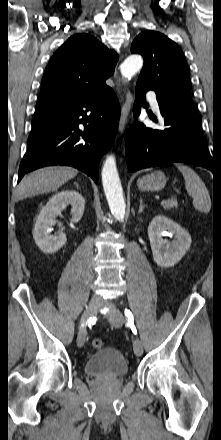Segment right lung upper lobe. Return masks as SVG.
Returning <instances> with one entry per match:
<instances>
[{"label": "right lung upper lobe", "mask_w": 221, "mask_h": 440, "mask_svg": "<svg viewBox=\"0 0 221 440\" xmlns=\"http://www.w3.org/2000/svg\"><path fill=\"white\" fill-rule=\"evenodd\" d=\"M118 55L95 37L71 36L47 65L37 105L103 93L114 73Z\"/></svg>", "instance_id": "right-lung-upper-lobe-1"}]
</instances>
